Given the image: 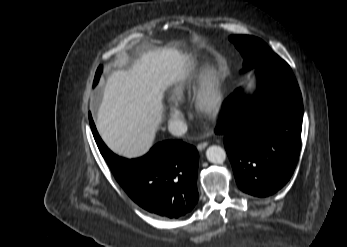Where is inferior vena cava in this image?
I'll return each mask as SVG.
<instances>
[{
	"label": "inferior vena cava",
	"instance_id": "obj_1",
	"mask_svg": "<svg viewBox=\"0 0 347 247\" xmlns=\"http://www.w3.org/2000/svg\"><path fill=\"white\" fill-rule=\"evenodd\" d=\"M188 126L182 120H170L168 122V130L174 136H182L187 132Z\"/></svg>",
	"mask_w": 347,
	"mask_h": 247
}]
</instances>
